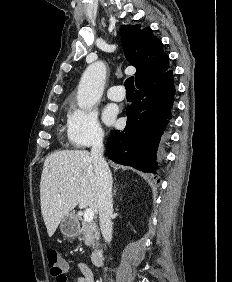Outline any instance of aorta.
Segmentation results:
<instances>
[{"instance_id": "aorta-1", "label": "aorta", "mask_w": 232, "mask_h": 282, "mask_svg": "<svg viewBox=\"0 0 232 282\" xmlns=\"http://www.w3.org/2000/svg\"><path fill=\"white\" fill-rule=\"evenodd\" d=\"M106 78V66L102 61L90 64L78 85L77 104L81 109L92 108L101 98Z\"/></svg>"}]
</instances>
